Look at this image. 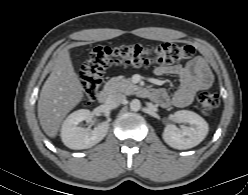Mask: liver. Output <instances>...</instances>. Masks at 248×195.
<instances>
[{"label": "liver", "mask_w": 248, "mask_h": 195, "mask_svg": "<svg viewBox=\"0 0 248 195\" xmlns=\"http://www.w3.org/2000/svg\"><path fill=\"white\" fill-rule=\"evenodd\" d=\"M84 88L76 74L68 49L57 56L38 100V118L44 132L55 138L67 114L83 99Z\"/></svg>", "instance_id": "liver-1"}]
</instances>
